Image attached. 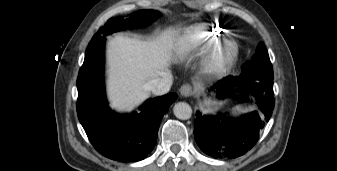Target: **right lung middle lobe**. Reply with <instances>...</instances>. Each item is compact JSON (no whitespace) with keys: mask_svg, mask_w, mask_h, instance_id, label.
<instances>
[{"mask_svg":"<svg viewBox=\"0 0 337 171\" xmlns=\"http://www.w3.org/2000/svg\"><path fill=\"white\" fill-rule=\"evenodd\" d=\"M129 16L130 17L128 19H123L122 16L109 19L107 23L93 36L92 40L97 36H102V34L108 35L124 28L142 27L144 25H148L159 18L161 13L149 9L133 12Z\"/></svg>","mask_w":337,"mask_h":171,"instance_id":"obj_1","label":"right lung middle lobe"}]
</instances>
